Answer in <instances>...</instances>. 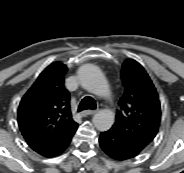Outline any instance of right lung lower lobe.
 <instances>
[{
    "label": "right lung lower lobe",
    "instance_id": "1",
    "mask_svg": "<svg viewBox=\"0 0 184 173\" xmlns=\"http://www.w3.org/2000/svg\"><path fill=\"white\" fill-rule=\"evenodd\" d=\"M76 132L73 131L70 135H68L61 143H59L54 149L46 152V153H43V154H40L44 157H47V158H52V157H56V156H59L60 154H62L68 147V145L70 144V141L72 139V136L74 135V133Z\"/></svg>",
    "mask_w": 184,
    "mask_h": 173
}]
</instances>
